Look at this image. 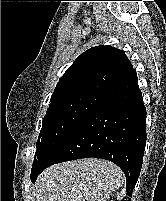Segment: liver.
<instances>
[{
	"label": "liver",
	"instance_id": "1",
	"mask_svg": "<svg viewBox=\"0 0 166 201\" xmlns=\"http://www.w3.org/2000/svg\"><path fill=\"white\" fill-rule=\"evenodd\" d=\"M124 181L114 163L83 158L45 169L36 180L35 196L37 201H106Z\"/></svg>",
	"mask_w": 166,
	"mask_h": 201
}]
</instances>
